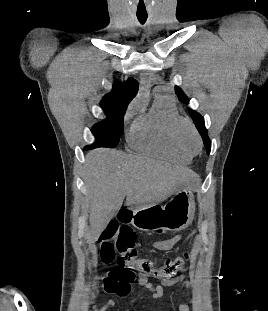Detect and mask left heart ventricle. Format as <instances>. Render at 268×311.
<instances>
[{
  "label": "left heart ventricle",
  "mask_w": 268,
  "mask_h": 311,
  "mask_svg": "<svg viewBox=\"0 0 268 311\" xmlns=\"http://www.w3.org/2000/svg\"><path fill=\"white\" fill-rule=\"evenodd\" d=\"M183 140H184L186 146L190 150H192V151L197 150V148H198L197 140L195 139L193 134L187 128L183 129Z\"/></svg>",
  "instance_id": "left-heart-ventricle-1"
}]
</instances>
